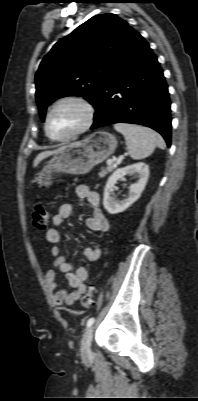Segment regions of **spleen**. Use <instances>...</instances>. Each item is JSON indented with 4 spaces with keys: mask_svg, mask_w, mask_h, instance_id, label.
Listing matches in <instances>:
<instances>
[{
    "mask_svg": "<svg viewBox=\"0 0 198 401\" xmlns=\"http://www.w3.org/2000/svg\"><path fill=\"white\" fill-rule=\"evenodd\" d=\"M114 128L124 135L128 152L134 160L150 156L156 147L163 150L166 148L162 136L147 127L117 123Z\"/></svg>",
    "mask_w": 198,
    "mask_h": 401,
    "instance_id": "obj_1",
    "label": "spleen"
}]
</instances>
